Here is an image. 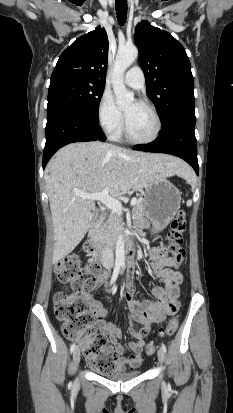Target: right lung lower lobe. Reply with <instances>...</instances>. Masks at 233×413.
<instances>
[{"label":"right lung lower lobe","instance_id":"98d812e1","mask_svg":"<svg viewBox=\"0 0 233 413\" xmlns=\"http://www.w3.org/2000/svg\"><path fill=\"white\" fill-rule=\"evenodd\" d=\"M96 140L105 141L99 121L71 109L57 108L47 111L43 169L59 148L69 143Z\"/></svg>","mask_w":233,"mask_h":413}]
</instances>
